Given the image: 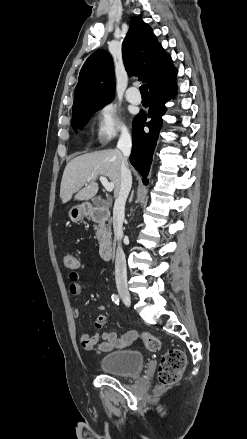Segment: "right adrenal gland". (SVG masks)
Wrapping results in <instances>:
<instances>
[{"label":"right adrenal gland","instance_id":"1","mask_svg":"<svg viewBox=\"0 0 247 439\" xmlns=\"http://www.w3.org/2000/svg\"><path fill=\"white\" fill-rule=\"evenodd\" d=\"M133 196H134V191L132 190L131 192V196L129 198V203H131L133 201Z\"/></svg>","mask_w":247,"mask_h":439}]
</instances>
